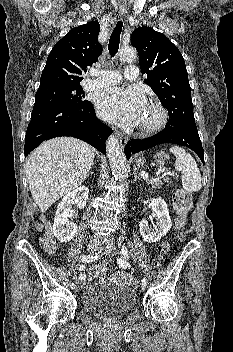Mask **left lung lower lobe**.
Instances as JSON below:
<instances>
[{"instance_id":"0a47b994","label":"left lung lower lobe","mask_w":233,"mask_h":352,"mask_svg":"<svg viewBox=\"0 0 233 352\" xmlns=\"http://www.w3.org/2000/svg\"><path fill=\"white\" fill-rule=\"evenodd\" d=\"M162 143H173L192 149L204 164V150L199 138L196 125L194 126H169L166 125L160 133L145 139H132L125 147L127 159L131 154L149 149Z\"/></svg>"}]
</instances>
